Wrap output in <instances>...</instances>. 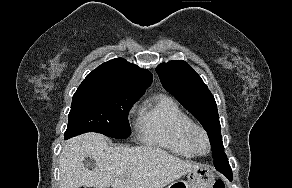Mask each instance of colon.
Wrapping results in <instances>:
<instances>
[{"instance_id":"1","label":"colon","mask_w":292,"mask_h":188,"mask_svg":"<svg viewBox=\"0 0 292 188\" xmlns=\"http://www.w3.org/2000/svg\"><path fill=\"white\" fill-rule=\"evenodd\" d=\"M213 188H226V184L223 180L219 179L214 183Z\"/></svg>"}]
</instances>
